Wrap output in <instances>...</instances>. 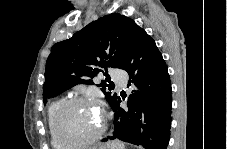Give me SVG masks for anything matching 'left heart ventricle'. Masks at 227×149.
I'll return each mask as SVG.
<instances>
[{
    "instance_id": "obj_1",
    "label": "left heart ventricle",
    "mask_w": 227,
    "mask_h": 149,
    "mask_svg": "<svg viewBox=\"0 0 227 149\" xmlns=\"http://www.w3.org/2000/svg\"><path fill=\"white\" fill-rule=\"evenodd\" d=\"M101 124V114L93 102L76 103L65 111L62 131L70 140H83L96 133Z\"/></svg>"
}]
</instances>
